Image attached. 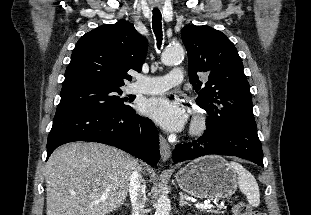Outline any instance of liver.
Segmentation results:
<instances>
[{
	"mask_svg": "<svg viewBox=\"0 0 311 215\" xmlns=\"http://www.w3.org/2000/svg\"><path fill=\"white\" fill-rule=\"evenodd\" d=\"M141 165L130 155L98 143L72 142L46 164V215H105L119 208L130 176Z\"/></svg>",
	"mask_w": 311,
	"mask_h": 215,
	"instance_id": "obj_1",
	"label": "liver"
}]
</instances>
